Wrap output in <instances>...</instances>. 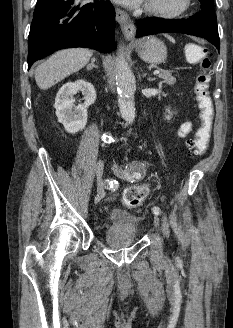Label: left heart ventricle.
Returning a JSON list of instances; mask_svg holds the SVG:
<instances>
[{"label": "left heart ventricle", "mask_w": 233, "mask_h": 328, "mask_svg": "<svg viewBox=\"0 0 233 328\" xmlns=\"http://www.w3.org/2000/svg\"><path fill=\"white\" fill-rule=\"evenodd\" d=\"M180 0H149V2L156 6L161 8H175L178 6Z\"/></svg>", "instance_id": "left-heart-ventricle-1"}]
</instances>
